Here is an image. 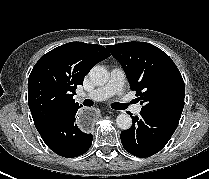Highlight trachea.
I'll use <instances>...</instances> for the list:
<instances>
[{
	"label": "trachea",
	"instance_id": "obj_1",
	"mask_svg": "<svg viewBox=\"0 0 209 179\" xmlns=\"http://www.w3.org/2000/svg\"><path fill=\"white\" fill-rule=\"evenodd\" d=\"M83 104L85 106H92L93 105V101L92 100H89V99H86ZM112 108L116 109V110H124L127 108V104H122V103H113L112 105Z\"/></svg>",
	"mask_w": 209,
	"mask_h": 179
}]
</instances>
